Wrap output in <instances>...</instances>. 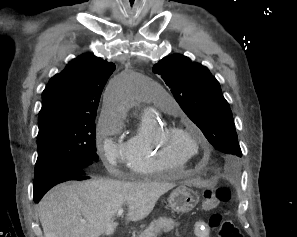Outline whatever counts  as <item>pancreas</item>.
<instances>
[{
  "mask_svg": "<svg viewBox=\"0 0 297 237\" xmlns=\"http://www.w3.org/2000/svg\"><path fill=\"white\" fill-rule=\"evenodd\" d=\"M177 226V223L171 218L160 217L150 223L149 227L136 237H156L160 232H170Z\"/></svg>",
  "mask_w": 297,
  "mask_h": 237,
  "instance_id": "pancreas-1",
  "label": "pancreas"
}]
</instances>
